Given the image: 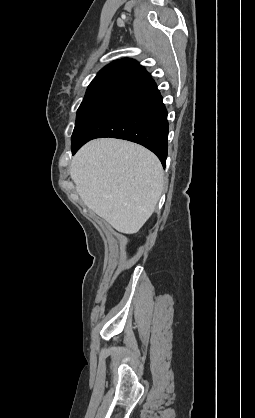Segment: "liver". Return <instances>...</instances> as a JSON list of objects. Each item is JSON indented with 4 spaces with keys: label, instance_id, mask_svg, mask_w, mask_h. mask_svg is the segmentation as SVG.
Wrapping results in <instances>:
<instances>
[{
    "label": "liver",
    "instance_id": "6515ba94",
    "mask_svg": "<svg viewBox=\"0 0 255 418\" xmlns=\"http://www.w3.org/2000/svg\"><path fill=\"white\" fill-rule=\"evenodd\" d=\"M70 176L85 205L117 231L134 234L154 212L163 190V168L146 148L97 139L74 156Z\"/></svg>",
    "mask_w": 255,
    "mask_h": 418
}]
</instances>
